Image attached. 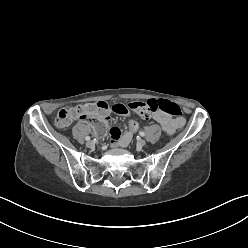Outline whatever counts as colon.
I'll return each instance as SVG.
<instances>
[{
	"mask_svg": "<svg viewBox=\"0 0 248 248\" xmlns=\"http://www.w3.org/2000/svg\"><path fill=\"white\" fill-rule=\"evenodd\" d=\"M107 110L108 105L104 101H99L96 104H81L78 108L60 110L55 118V123L59 128H65L75 118H81L84 121L94 123L92 133L95 137H104L109 132V129L106 126ZM130 110L145 119H150L158 112H164L176 118H179L182 115L181 108L176 103L168 100L133 101L127 105L117 104L113 106L112 113L127 118L129 133L139 132L137 120L131 118L132 114L130 113Z\"/></svg>",
	"mask_w": 248,
	"mask_h": 248,
	"instance_id": "1",
	"label": "colon"
}]
</instances>
